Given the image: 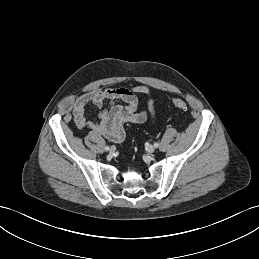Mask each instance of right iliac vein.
<instances>
[{
    "label": "right iliac vein",
    "instance_id": "63e3f726",
    "mask_svg": "<svg viewBox=\"0 0 259 259\" xmlns=\"http://www.w3.org/2000/svg\"><path fill=\"white\" fill-rule=\"evenodd\" d=\"M115 150H116V148L114 147V146H112L111 148H110V154H113L114 152H115Z\"/></svg>",
    "mask_w": 259,
    "mask_h": 259
}]
</instances>
